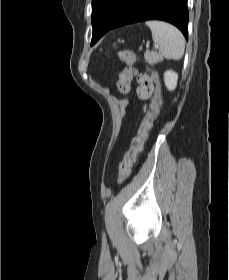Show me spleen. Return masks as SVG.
<instances>
[{
	"label": "spleen",
	"instance_id": "1",
	"mask_svg": "<svg viewBox=\"0 0 229 280\" xmlns=\"http://www.w3.org/2000/svg\"><path fill=\"white\" fill-rule=\"evenodd\" d=\"M146 25L151 29L154 44L163 57L179 60L183 56L185 39L176 27L162 21H147Z\"/></svg>",
	"mask_w": 229,
	"mask_h": 280
}]
</instances>
